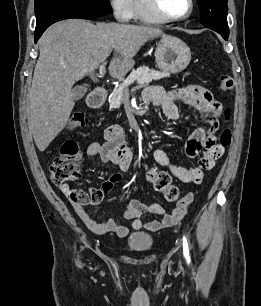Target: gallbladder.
Here are the masks:
<instances>
[{"label":"gallbladder","instance_id":"gallbladder-1","mask_svg":"<svg viewBox=\"0 0 261 306\" xmlns=\"http://www.w3.org/2000/svg\"><path fill=\"white\" fill-rule=\"evenodd\" d=\"M87 91V88L84 87V86H76L74 89H73V93H74V100H79L81 99L85 93Z\"/></svg>","mask_w":261,"mask_h":306}]
</instances>
